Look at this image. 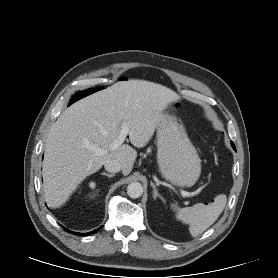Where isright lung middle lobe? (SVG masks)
I'll list each match as a JSON object with an SVG mask.
<instances>
[{
  "label": "right lung middle lobe",
  "instance_id": "dd1d6c3e",
  "mask_svg": "<svg viewBox=\"0 0 278 278\" xmlns=\"http://www.w3.org/2000/svg\"><path fill=\"white\" fill-rule=\"evenodd\" d=\"M97 89H89V90H85V91H82V92H79L77 95L80 96V97H83V96H86L94 91H96Z\"/></svg>",
  "mask_w": 278,
  "mask_h": 278
}]
</instances>
